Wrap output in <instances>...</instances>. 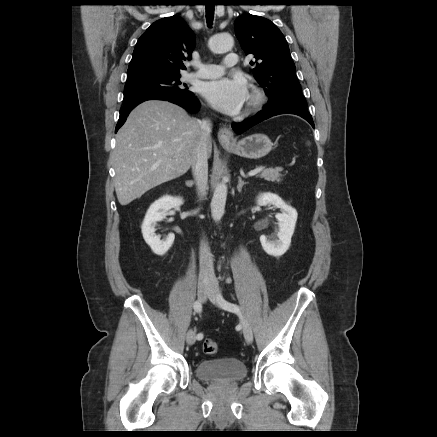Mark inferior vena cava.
Wrapping results in <instances>:
<instances>
[{
    "label": "inferior vena cava",
    "instance_id": "inferior-vena-cava-1",
    "mask_svg": "<svg viewBox=\"0 0 437 437\" xmlns=\"http://www.w3.org/2000/svg\"><path fill=\"white\" fill-rule=\"evenodd\" d=\"M200 141L196 150V158L192 162V173L196 182L199 195L203 196L208 181V144L211 139L212 126L207 120L199 121ZM199 281L203 283L214 282L215 274L213 259L208 244L201 242L199 252Z\"/></svg>",
    "mask_w": 437,
    "mask_h": 437
}]
</instances>
